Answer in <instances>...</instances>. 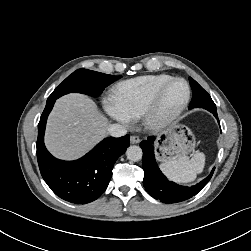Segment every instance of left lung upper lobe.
<instances>
[{
  "instance_id": "obj_1",
  "label": "left lung upper lobe",
  "mask_w": 251,
  "mask_h": 251,
  "mask_svg": "<svg viewBox=\"0 0 251 251\" xmlns=\"http://www.w3.org/2000/svg\"><path fill=\"white\" fill-rule=\"evenodd\" d=\"M189 82L192 88V100L189 109L202 107L208 111H217L210 95L193 78L190 77Z\"/></svg>"
}]
</instances>
